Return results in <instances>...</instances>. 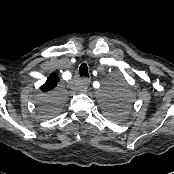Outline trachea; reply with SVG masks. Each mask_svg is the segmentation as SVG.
Returning a JSON list of instances; mask_svg holds the SVG:
<instances>
[{
  "instance_id": "1",
  "label": "trachea",
  "mask_w": 174,
  "mask_h": 174,
  "mask_svg": "<svg viewBox=\"0 0 174 174\" xmlns=\"http://www.w3.org/2000/svg\"><path fill=\"white\" fill-rule=\"evenodd\" d=\"M79 74L81 77H89L88 67L86 63H82L79 67Z\"/></svg>"
}]
</instances>
